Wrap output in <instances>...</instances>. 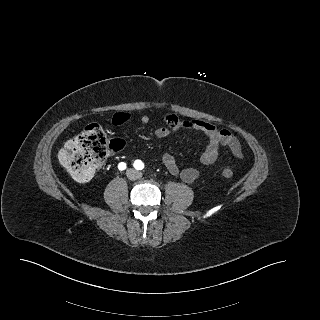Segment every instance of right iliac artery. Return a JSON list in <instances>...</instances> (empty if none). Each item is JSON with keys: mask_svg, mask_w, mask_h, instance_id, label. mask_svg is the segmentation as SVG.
I'll use <instances>...</instances> for the list:
<instances>
[{"mask_svg": "<svg viewBox=\"0 0 320 320\" xmlns=\"http://www.w3.org/2000/svg\"><path fill=\"white\" fill-rule=\"evenodd\" d=\"M126 167L127 166H126V164L124 162H121V163L118 164V169L119 170H124V169H126Z\"/></svg>", "mask_w": 320, "mask_h": 320, "instance_id": "obj_1", "label": "right iliac artery"}]
</instances>
